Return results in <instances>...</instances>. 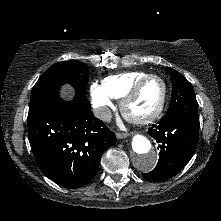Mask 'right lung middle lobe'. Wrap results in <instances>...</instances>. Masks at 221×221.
Returning <instances> with one entry per match:
<instances>
[{
	"mask_svg": "<svg viewBox=\"0 0 221 221\" xmlns=\"http://www.w3.org/2000/svg\"><path fill=\"white\" fill-rule=\"evenodd\" d=\"M89 67L77 60L62 61L52 65L39 78L31 92L28 120L42 107L58 98L60 87L71 84L76 92L86 94Z\"/></svg>",
	"mask_w": 221,
	"mask_h": 221,
	"instance_id": "1",
	"label": "right lung middle lobe"
}]
</instances>
